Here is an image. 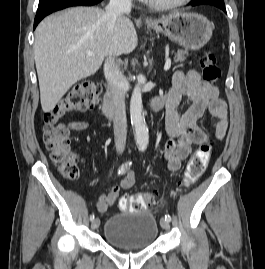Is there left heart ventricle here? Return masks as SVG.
<instances>
[{"mask_svg": "<svg viewBox=\"0 0 265 269\" xmlns=\"http://www.w3.org/2000/svg\"><path fill=\"white\" fill-rule=\"evenodd\" d=\"M158 1H172V0H158Z\"/></svg>", "mask_w": 265, "mask_h": 269, "instance_id": "left-heart-ventricle-1", "label": "left heart ventricle"}]
</instances>
